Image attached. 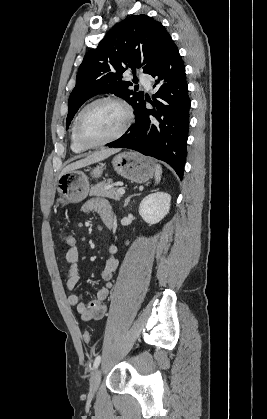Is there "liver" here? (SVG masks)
<instances>
[{"label":"liver","instance_id":"liver-1","mask_svg":"<svg viewBox=\"0 0 267 419\" xmlns=\"http://www.w3.org/2000/svg\"><path fill=\"white\" fill-rule=\"evenodd\" d=\"M119 151H120V149H118V148H107V149H101L99 151L93 152L92 154L88 155L87 157H85L83 159H80V160H78L76 162H73V163L69 164L68 166H66L62 170L61 175L68 172V171L76 170V169L88 166L90 164L100 162V161L108 158L112 154H115Z\"/></svg>","mask_w":267,"mask_h":419}]
</instances>
